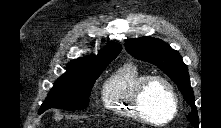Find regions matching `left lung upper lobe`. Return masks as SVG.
<instances>
[{"instance_id":"1","label":"left lung upper lobe","mask_w":221,"mask_h":128,"mask_svg":"<svg viewBox=\"0 0 221 128\" xmlns=\"http://www.w3.org/2000/svg\"><path fill=\"white\" fill-rule=\"evenodd\" d=\"M125 47L135 58L156 65L177 84L183 97L192 107V112L187 115V119L193 126L198 127L199 118L193 90L190 86L188 69L179 52L173 50L162 40L153 37L128 40Z\"/></svg>"}]
</instances>
